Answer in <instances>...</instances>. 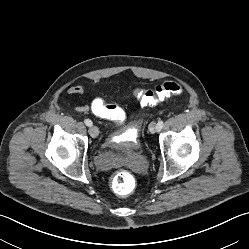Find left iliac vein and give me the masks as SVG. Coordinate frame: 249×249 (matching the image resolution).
Instances as JSON below:
<instances>
[{"mask_svg":"<svg viewBox=\"0 0 249 249\" xmlns=\"http://www.w3.org/2000/svg\"><path fill=\"white\" fill-rule=\"evenodd\" d=\"M156 124H155V122H152V123H150V125H149V131L153 134V133H155L156 132Z\"/></svg>","mask_w":249,"mask_h":249,"instance_id":"obj_1","label":"left iliac vein"}]
</instances>
